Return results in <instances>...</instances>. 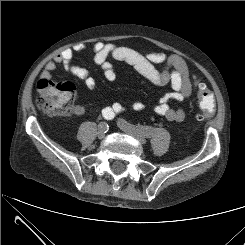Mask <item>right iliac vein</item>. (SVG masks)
I'll return each instance as SVG.
<instances>
[{"label":"right iliac vein","mask_w":245,"mask_h":245,"mask_svg":"<svg viewBox=\"0 0 245 245\" xmlns=\"http://www.w3.org/2000/svg\"><path fill=\"white\" fill-rule=\"evenodd\" d=\"M97 136L99 139H103L105 137V131L101 128V126L98 128Z\"/></svg>","instance_id":"obj_1"}]
</instances>
